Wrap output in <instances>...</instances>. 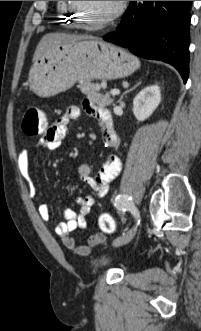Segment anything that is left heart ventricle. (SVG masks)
Returning <instances> with one entry per match:
<instances>
[{
	"label": "left heart ventricle",
	"instance_id": "left-heart-ventricle-1",
	"mask_svg": "<svg viewBox=\"0 0 201 331\" xmlns=\"http://www.w3.org/2000/svg\"><path fill=\"white\" fill-rule=\"evenodd\" d=\"M81 7L82 15L90 23L98 21L109 15L116 7L117 1H77Z\"/></svg>",
	"mask_w": 201,
	"mask_h": 331
}]
</instances>
